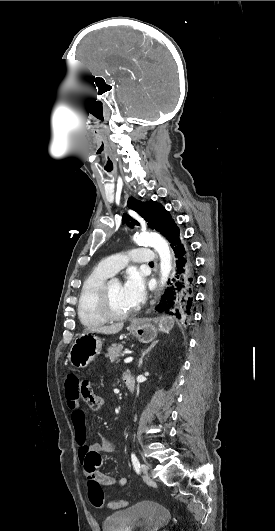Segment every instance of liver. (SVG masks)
Listing matches in <instances>:
<instances>
[{
  "label": "liver",
  "instance_id": "1",
  "mask_svg": "<svg viewBox=\"0 0 275 531\" xmlns=\"http://www.w3.org/2000/svg\"><path fill=\"white\" fill-rule=\"evenodd\" d=\"M123 327V323H114V325H109V327H93L90 331L91 333H103V335H115V333L122 331Z\"/></svg>",
  "mask_w": 275,
  "mask_h": 531
}]
</instances>
